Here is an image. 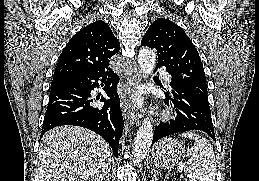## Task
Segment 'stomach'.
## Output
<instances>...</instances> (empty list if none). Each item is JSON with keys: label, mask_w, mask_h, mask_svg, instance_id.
<instances>
[{"label": "stomach", "mask_w": 259, "mask_h": 181, "mask_svg": "<svg viewBox=\"0 0 259 181\" xmlns=\"http://www.w3.org/2000/svg\"><path fill=\"white\" fill-rule=\"evenodd\" d=\"M185 156V148L177 139L166 137L153 148L151 161L162 169H170L181 163Z\"/></svg>", "instance_id": "obj_1"}]
</instances>
